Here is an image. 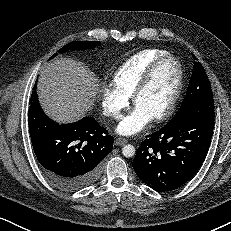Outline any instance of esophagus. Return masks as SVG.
I'll list each match as a JSON object with an SVG mask.
<instances>
[{"label": "esophagus", "instance_id": "34e87169", "mask_svg": "<svg viewBox=\"0 0 231 231\" xmlns=\"http://www.w3.org/2000/svg\"><path fill=\"white\" fill-rule=\"evenodd\" d=\"M127 143V140L123 139V138H117L115 140V145L117 146H123Z\"/></svg>", "mask_w": 231, "mask_h": 231}]
</instances>
